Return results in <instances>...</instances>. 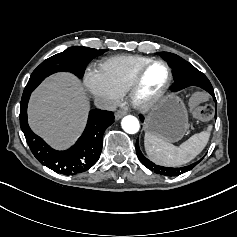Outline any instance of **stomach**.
I'll use <instances>...</instances> for the list:
<instances>
[{"label": "stomach", "instance_id": "stomach-1", "mask_svg": "<svg viewBox=\"0 0 237 237\" xmlns=\"http://www.w3.org/2000/svg\"><path fill=\"white\" fill-rule=\"evenodd\" d=\"M187 123L183 103L174 95H168L151 106L145 130L173 143L184 137L188 130Z\"/></svg>", "mask_w": 237, "mask_h": 237}]
</instances>
